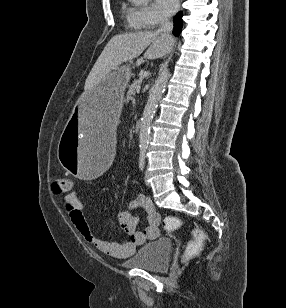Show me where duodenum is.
Masks as SVG:
<instances>
[{"label":"duodenum","instance_id":"1","mask_svg":"<svg viewBox=\"0 0 286 308\" xmlns=\"http://www.w3.org/2000/svg\"><path fill=\"white\" fill-rule=\"evenodd\" d=\"M140 126H141V121H140V120H137V121L135 122V129H136V130H139V129H140Z\"/></svg>","mask_w":286,"mask_h":308}]
</instances>
